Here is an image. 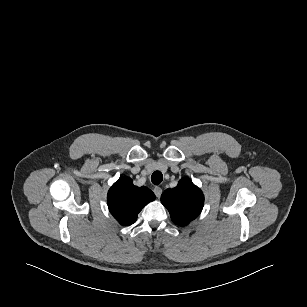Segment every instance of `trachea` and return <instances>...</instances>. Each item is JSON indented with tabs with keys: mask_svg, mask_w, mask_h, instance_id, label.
<instances>
[{
	"mask_svg": "<svg viewBox=\"0 0 307 307\" xmlns=\"http://www.w3.org/2000/svg\"><path fill=\"white\" fill-rule=\"evenodd\" d=\"M163 180V175L160 171H155L151 176V181L154 185H159Z\"/></svg>",
	"mask_w": 307,
	"mask_h": 307,
	"instance_id": "3493384b",
	"label": "trachea"
}]
</instances>
